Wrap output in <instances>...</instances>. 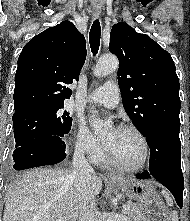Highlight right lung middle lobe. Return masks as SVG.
<instances>
[{
	"mask_svg": "<svg viewBox=\"0 0 190 221\" xmlns=\"http://www.w3.org/2000/svg\"><path fill=\"white\" fill-rule=\"evenodd\" d=\"M63 104L36 105L13 114L15 147L35 138L56 135L63 137L72 125L69 113L62 112Z\"/></svg>",
	"mask_w": 190,
	"mask_h": 221,
	"instance_id": "right-lung-middle-lobe-1",
	"label": "right lung middle lobe"
}]
</instances>
